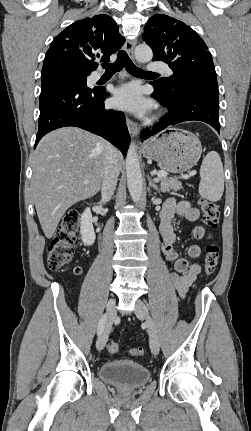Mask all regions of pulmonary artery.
Returning <instances> with one entry per match:
<instances>
[{"label": "pulmonary artery", "instance_id": "e3ab8cb5", "mask_svg": "<svg viewBox=\"0 0 251 431\" xmlns=\"http://www.w3.org/2000/svg\"><path fill=\"white\" fill-rule=\"evenodd\" d=\"M147 70L150 72H163L165 74H171L169 67L162 62H151L147 66Z\"/></svg>", "mask_w": 251, "mask_h": 431}]
</instances>
